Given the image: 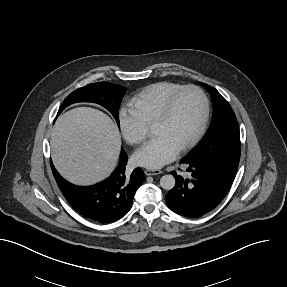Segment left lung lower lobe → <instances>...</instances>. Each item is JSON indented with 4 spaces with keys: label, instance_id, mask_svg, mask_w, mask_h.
Wrapping results in <instances>:
<instances>
[{
    "label": "left lung lower lobe",
    "instance_id": "left-lung-lower-lobe-1",
    "mask_svg": "<svg viewBox=\"0 0 287 287\" xmlns=\"http://www.w3.org/2000/svg\"><path fill=\"white\" fill-rule=\"evenodd\" d=\"M181 163L191 174L189 179L171 173L176 184L165 196L168 207L175 213L196 218L215 208L226 196L238 163L223 160H185Z\"/></svg>",
    "mask_w": 287,
    "mask_h": 287
}]
</instances>
